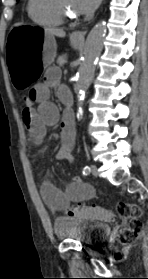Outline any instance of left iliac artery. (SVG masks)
<instances>
[{"mask_svg": "<svg viewBox=\"0 0 148 279\" xmlns=\"http://www.w3.org/2000/svg\"><path fill=\"white\" fill-rule=\"evenodd\" d=\"M90 173V167L89 166H85L84 168H83V174L84 175H88Z\"/></svg>", "mask_w": 148, "mask_h": 279, "instance_id": "44dca946", "label": "left iliac artery"}]
</instances>
